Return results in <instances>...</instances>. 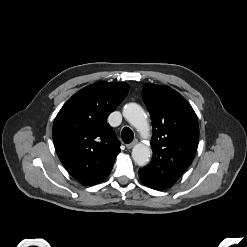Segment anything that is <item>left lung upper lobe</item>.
<instances>
[{
    "mask_svg": "<svg viewBox=\"0 0 247 247\" xmlns=\"http://www.w3.org/2000/svg\"><path fill=\"white\" fill-rule=\"evenodd\" d=\"M142 96L152 120L153 158L140 170L171 187L195 157L197 116L186 99L168 86L146 83Z\"/></svg>",
    "mask_w": 247,
    "mask_h": 247,
    "instance_id": "5c2ea615",
    "label": "left lung upper lobe"
}]
</instances>
